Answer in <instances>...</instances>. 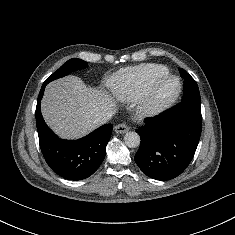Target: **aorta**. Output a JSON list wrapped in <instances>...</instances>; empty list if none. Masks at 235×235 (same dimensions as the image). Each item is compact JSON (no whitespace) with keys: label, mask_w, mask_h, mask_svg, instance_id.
<instances>
[{"label":"aorta","mask_w":235,"mask_h":235,"mask_svg":"<svg viewBox=\"0 0 235 235\" xmlns=\"http://www.w3.org/2000/svg\"><path fill=\"white\" fill-rule=\"evenodd\" d=\"M124 142L129 148H136L140 145V136L136 132H127L124 135Z\"/></svg>","instance_id":"obj_1"}]
</instances>
